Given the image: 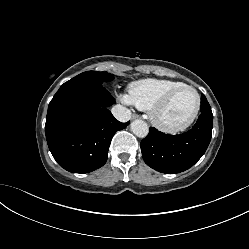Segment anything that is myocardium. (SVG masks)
Returning a JSON list of instances; mask_svg holds the SVG:
<instances>
[{
  "label": "myocardium",
  "mask_w": 249,
  "mask_h": 249,
  "mask_svg": "<svg viewBox=\"0 0 249 249\" xmlns=\"http://www.w3.org/2000/svg\"><path fill=\"white\" fill-rule=\"evenodd\" d=\"M191 90L196 96V104L191 115L182 123L177 125H168L159 119V113L169 104L173 96L180 90ZM201 107V97L199 92L192 86L183 84L169 90L162 98L152 105L149 109L151 122L160 130L167 133H177L188 128L196 119Z\"/></svg>",
  "instance_id": "f54148a6"
}]
</instances>
